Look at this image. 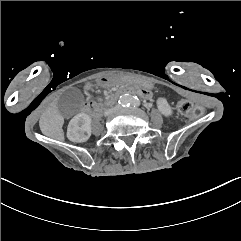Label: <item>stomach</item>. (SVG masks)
I'll return each instance as SVG.
<instances>
[{"instance_id":"obj_1","label":"stomach","mask_w":241,"mask_h":241,"mask_svg":"<svg viewBox=\"0 0 241 241\" xmlns=\"http://www.w3.org/2000/svg\"><path fill=\"white\" fill-rule=\"evenodd\" d=\"M115 83L137 84V85H141V86L148 87V88H151L153 86L152 82H150L147 79H137V78L130 77V76H118L115 79Z\"/></svg>"}]
</instances>
